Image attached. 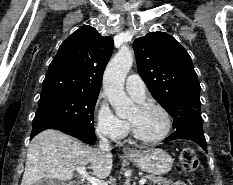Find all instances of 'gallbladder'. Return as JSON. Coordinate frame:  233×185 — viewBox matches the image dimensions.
I'll use <instances>...</instances> for the list:
<instances>
[{"instance_id": "obj_1", "label": "gallbladder", "mask_w": 233, "mask_h": 185, "mask_svg": "<svg viewBox=\"0 0 233 185\" xmlns=\"http://www.w3.org/2000/svg\"><path fill=\"white\" fill-rule=\"evenodd\" d=\"M37 185H76V184L71 181L64 182L56 179H43Z\"/></svg>"}]
</instances>
